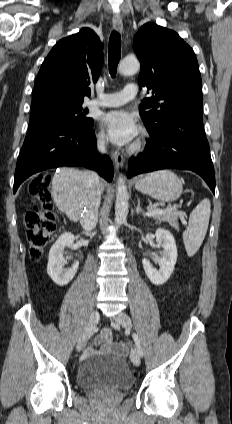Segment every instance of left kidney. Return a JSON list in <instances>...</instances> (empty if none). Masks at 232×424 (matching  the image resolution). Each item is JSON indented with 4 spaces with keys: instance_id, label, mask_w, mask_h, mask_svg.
Listing matches in <instances>:
<instances>
[{
    "instance_id": "1",
    "label": "left kidney",
    "mask_w": 232,
    "mask_h": 424,
    "mask_svg": "<svg viewBox=\"0 0 232 424\" xmlns=\"http://www.w3.org/2000/svg\"><path fill=\"white\" fill-rule=\"evenodd\" d=\"M156 242L162 247L159 269L152 266L149 260L143 259L142 264L148 279L154 285L164 284L173 273L177 261V247L170 231L158 228L155 232Z\"/></svg>"
}]
</instances>
